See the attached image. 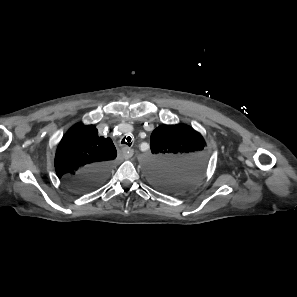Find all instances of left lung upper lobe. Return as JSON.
<instances>
[{
    "label": "left lung upper lobe",
    "mask_w": 297,
    "mask_h": 297,
    "mask_svg": "<svg viewBox=\"0 0 297 297\" xmlns=\"http://www.w3.org/2000/svg\"><path fill=\"white\" fill-rule=\"evenodd\" d=\"M153 163L150 181L166 192L192 186L206 167L207 151L200 133L183 124L161 125L150 137Z\"/></svg>",
    "instance_id": "left-lung-upper-lobe-1"
}]
</instances>
